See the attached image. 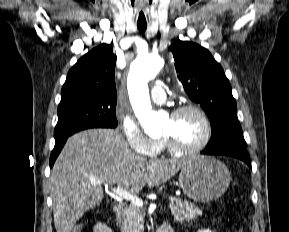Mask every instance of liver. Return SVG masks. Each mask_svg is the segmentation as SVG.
Instances as JSON below:
<instances>
[{
  "mask_svg": "<svg viewBox=\"0 0 289 232\" xmlns=\"http://www.w3.org/2000/svg\"><path fill=\"white\" fill-rule=\"evenodd\" d=\"M185 162L140 157L118 130L89 129L72 135L50 175L56 231L70 232L85 212L102 202V184L137 194L144 186L169 180Z\"/></svg>",
  "mask_w": 289,
  "mask_h": 232,
  "instance_id": "liver-1",
  "label": "liver"
}]
</instances>
